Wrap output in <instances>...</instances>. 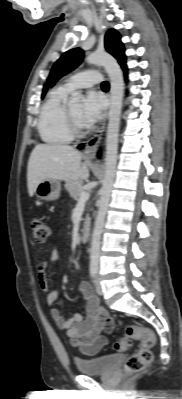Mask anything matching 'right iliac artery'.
<instances>
[{
    "label": "right iliac artery",
    "mask_w": 182,
    "mask_h": 399,
    "mask_svg": "<svg viewBox=\"0 0 182 399\" xmlns=\"http://www.w3.org/2000/svg\"><path fill=\"white\" fill-rule=\"evenodd\" d=\"M96 273H97V270H96L95 268L90 269V277H91L92 279L95 278Z\"/></svg>",
    "instance_id": "obj_1"
}]
</instances>
